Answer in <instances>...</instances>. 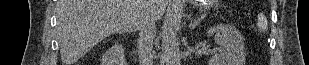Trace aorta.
Here are the masks:
<instances>
[{"label":"aorta","mask_w":309,"mask_h":65,"mask_svg":"<svg viewBox=\"0 0 309 65\" xmlns=\"http://www.w3.org/2000/svg\"><path fill=\"white\" fill-rule=\"evenodd\" d=\"M182 17V8L177 6L169 18L166 27L164 60L166 65H180L181 53L178 34Z\"/></svg>","instance_id":"1"}]
</instances>
